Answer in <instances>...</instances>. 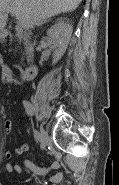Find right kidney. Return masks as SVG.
Instances as JSON below:
<instances>
[{
  "label": "right kidney",
  "mask_w": 119,
  "mask_h": 185,
  "mask_svg": "<svg viewBox=\"0 0 119 185\" xmlns=\"http://www.w3.org/2000/svg\"><path fill=\"white\" fill-rule=\"evenodd\" d=\"M72 32H73L72 25L64 21H59L58 23H56L54 26L47 30L48 42L53 47H55L52 62L53 64L57 63L65 53Z\"/></svg>",
  "instance_id": "ca27d5eb"
}]
</instances>
